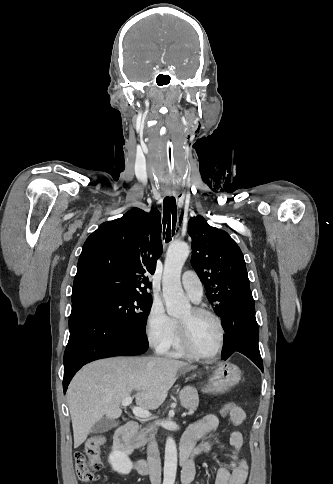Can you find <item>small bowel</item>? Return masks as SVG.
I'll return each mask as SVG.
<instances>
[{
    "mask_svg": "<svg viewBox=\"0 0 333 484\" xmlns=\"http://www.w3.org/2000/svg\"><path fill=\"white\" fill-rule=\"evenodd\" d=\"M245 416L244 410L238 406L225 417H228L235 426H239L244 422ZM218 425L219 418L214 414H207L189 427L185 432L183 439L191 441L195 445L205 436L215 431ZM229 442L232 446V452L218 470L215 484H245L248 477V464L240 453L243 445L242 433L239 431H233L230 435ZM214 444V440L207 439L200 442L194 448L189 464L182 470V484H203L202 482L195 480L196 471L194 458L198 455L209 452Z\"/></svg>",
    "mask_w": 333,
    "mask_h": 484,
    "instance_id": "obj_1",
    "label": "small bowel"
}]
</instances>
